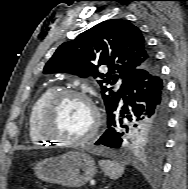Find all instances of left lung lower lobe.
I'll use <instances>...</instances> for the list:
<instances>
[{
  "label": "left lung lower lobe",
  "instance_id": "0a47b994",
  "mask_svg": "<svg viewBox=\"0 0 188 189\" xmlns=\"http://www.w3.org/2000/svg\"><path fill=\"white\" fill-rule=\"evenodd\" d=\"M123 102L108 116V129L95 143L110 148H125L131 129L150 124H167L168 99L165 83L155 59L134 72L123 90Z\"/></svg>",
  "mask_w": 188,
  "mask_h": 189
}]
</instances>
